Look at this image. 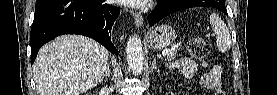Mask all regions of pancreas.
<instances>
[{
    "label": "pancreas",
    "mask_w": 277,
    "mask_h": 95,
    "mask_svg": "<svg viewBox=\"0 0 277 95\" xmlns=\"http://www.w3.org/2000/svg\"><path fill=\"white\" fill-rule=\"evenodd\" d=\"M177 51H178L177 48L171 49L170 52L167 54L166 59H167V60H172V59H174V58L176 57V55H177Z\"/></svg>",
    "instance_id": "1"
}]
</instances>
